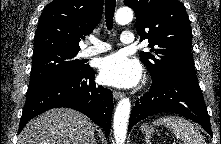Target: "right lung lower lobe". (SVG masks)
<instances>
[{
  "instance_id": "98d812e1",
  "label": "right lung lower lobe",
  "mask_w": 221,
  "mask_h": 144,
  "mask_svg": "<svg viewBox=\"0 0 221 144\" xmlns=\"http://www.w3.org/2000/svg\"><path fill=\"white\" fill-rule=\"evenodd\" d=\"M94 70L53 75L28 87L19 132L35 116L58 107L78 110L110 133L113 96L110 90L96 86ZM18 132V133H19Z\"/></svg>"
}]
</instances>
